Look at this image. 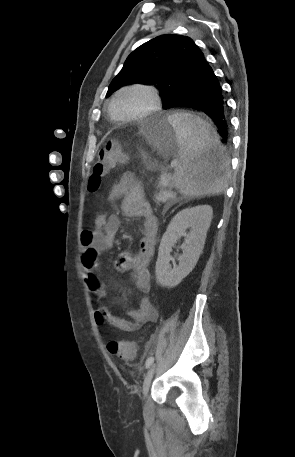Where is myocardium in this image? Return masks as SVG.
<instances>
[{
  "label": "myocardium",
  "instance_id": "1",
  "mask_svg": "<svg viewBox=\"0 0 295 457\" xmlns=\"http://www.w3.org/2000/svg\"><path fill=\"white\" fill-rule=\"evenodd\" d=\"M131 90H140L145 92L149 98H150V105L147 109L142 111L139 114L130 116V117H118L115 112H114V103L116 99L118 98L119 95H121L124 92L131 91ZM161 107V99L158 90L147 84H132L129 86H125L120 88L115 92L113 97L111 98L109 105H108V111L110 114V117L117 121V122H132V121H138V120H143L145 118H148L149 116L155 114Z\"/></svg>",
  "mask_w": 295,
  "mask_h": 457
}]
</instances>
